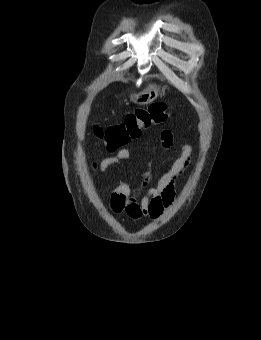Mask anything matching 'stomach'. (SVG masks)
I'll list each match as a JSON object with an SVG mask.
<instances>
[{"label":"stomach","mask_w":261,"mask_h":340,"mask_svg":"<svg viewBox=\"0 0 261 340\" xmlns=\"http://www.w3.org/2000/svg\"><path fill=\"white\" fill-rule=\"evenodd\" d=\"M158 96V88L152 84L139 93L130 95V100L138 105H145L153 102Z\"/></svg>","instance_id":"obj_1"}]
</instances>
